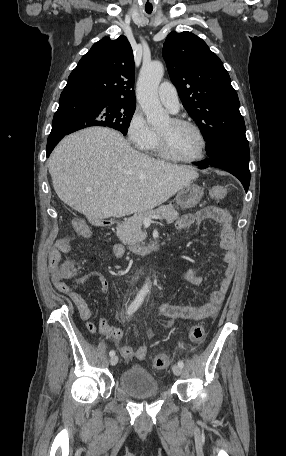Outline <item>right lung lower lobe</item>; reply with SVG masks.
<instances>
[{
    "instance_id": "obj_1",
    "label": "right lung lower lobe",
    "mask_w": 286,
    "mask_h": 456,
    "mask_svg": "<svg viewBox=\"0 0 286 456\" xmlns=\"http://www.w3.org/2000/svg\"><path fill=\"white\" fill-rule=\"evenodd\" d=\"M84 96L72 91L61 93L59 108L54 114L52 130L47 141V157L65 135L73 132L72 127L77 117L76 109Z\"/></svg>"
}]
</instances>
